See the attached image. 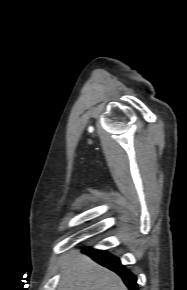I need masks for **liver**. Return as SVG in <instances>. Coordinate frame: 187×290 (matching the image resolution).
I'll list each match as a JSON object with an SVG mask.
<instances>
[{
    "label": "liver",
    "mask_w": 187,
    "mask_h": 290,
    "mask_svg": "<svg viewBox=\"0 0 187 290\" xmlns=\"http://www.w3.org/2000/svg\"><path fill=\"white\" fill-rule=\"evenodd\" d=\"M61 271L58 290H128L114 272L80 253L67 257Z\"/></svg>",
    "instance_id": "1"
}]
</instances>
